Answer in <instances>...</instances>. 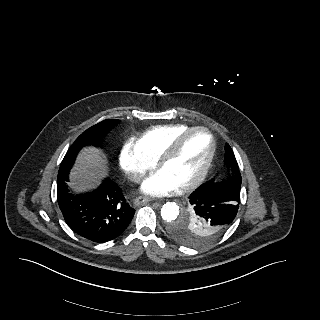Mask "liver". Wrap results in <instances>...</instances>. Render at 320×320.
I'll return each instance as SVG.
<instances>
[{
	"label": "liver",
	"mask_w": 320,
	"mask_h": 320,
	"mask_svg": "<svg viewBox=\"0 0 320 320\" xmlns=\"http://www.w3.org/2000/svg\"><path fill=\"white\" fill-rule=\"evenodd\" d=\"M107 173L106 160L96 149L86 148L78 156L67 184L76 192L93 187Z\"/></svg>",
	"instance_id": "obj_1"
}]
</instances>
